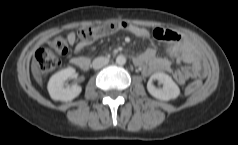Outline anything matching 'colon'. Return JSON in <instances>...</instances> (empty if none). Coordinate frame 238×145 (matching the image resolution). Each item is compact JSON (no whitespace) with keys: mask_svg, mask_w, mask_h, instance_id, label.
<instances>
[{"mask_svg":"<svg viewBox=\"0 0 238 145\" xmlns=\"http://www.w3.org/2000/svg\"><path fill=\"white\" fill-rule=\"evenodd\" d=\"M128 24L116 22L107 23L96 27H84L78 32V39L81 44L87 45L92 41L104 37L112 32L127 29ZM68 51V42L62 36L53 38L49 43L39 48L35 61L39 73L43 76L50 74L58 68L60 60ZM201 87L199 81L190 83L186 89V94H192Z\"/></svg>","mask_w":238,"mask_h":145,"instance_id":"colon-1","label":"colon"}]
</instances>
